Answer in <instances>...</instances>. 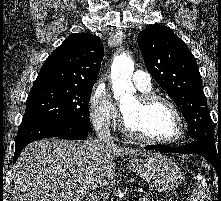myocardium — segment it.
<instances>
[{"instance_id":"f54148a6","label":"myocardium","mask_w":221,"mask_h":201,"mask_svg":"<svg viewBox=\"0 0 221 201\" xmlns=\"http://www.w3.org/2000/svg\"><path fill=\"white\" fill-rule=\"evenodd\" d=\"M136 99L139 105L141 106H147L154 102H163L164 104H166L176 116L178 124H179V129H178L177 135L174 136L173 138H169V139L152 138V137L140 134L139 132L134 130L128 124L126 117L122 111L121 119H120V128L127 136L135 140L152 143V144H162V145L175 143L183 137L185 133V121L180 110L178 109V107L172 100H170L169 98L163 95L153 93V92L141 93L136 97Z\"/></svg>"}]
</instances>
